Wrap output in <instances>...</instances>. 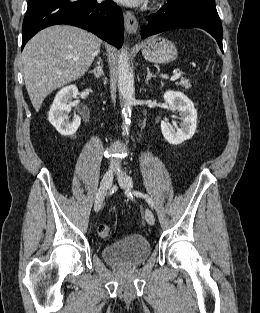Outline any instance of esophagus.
Listing matches in <instances>:
<instances>
[{
    "label": "esophagus",
    "instance_id": "esophagus-1",
    "mask_svg": "<svg viewBox=\"0 0 260 313\" xmlns=\"http://www.w3.org/2000/svg\"><path fill=\"white\" fill-rule=\"evenodd\" d=\"M125 29L130 34H136L138 29V21L134 14L126 11L124 14Z\"/></svg>",
    "mask_w": 260,
    "mask_h": 313
}]
</instances>
